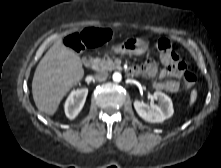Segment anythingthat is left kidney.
Instances as JSON below:
<instances>
[{
    "label": "left kidney",
    "mask_w": 221,
    "mask_h": 168,
    "mask_svg": "<svg viewBox=\"0 0 221 168\" xmlns=\"http://www.w3.org/2000/svg\"><path fill=\"white\" fill-rule=\"evenodd\" d=\"M155 100H158V105H149L139 100L134 101V108L138 115L147 122L161 123L173 115V104L170 97L166 94L156 91L153 95Z\"/></svg>",
    "instance_id": "5707ae66"
}]
</instances>
